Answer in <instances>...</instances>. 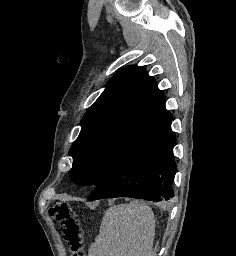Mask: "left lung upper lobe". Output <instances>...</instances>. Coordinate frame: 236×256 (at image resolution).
Returning <instances> with one entry per match:
<instances>
[{
	"label": "left lung upper lobe",
	"instance_id": "5c2ea615",
	"mask_svg": "<svg viewBox=\"0 0 236 256\" xmlns=\"http://www.w3.org/2000/svg\"><path fill=\"white\" fill-rule=\"evenodd\" d=\"M164 105V94L142 67L119 71L81 120V132L69 151L71 180L97 186L135 131Z\"/></svg>",
	"mask_w": 236,
	"mask_h": 256
}]
</instances>
